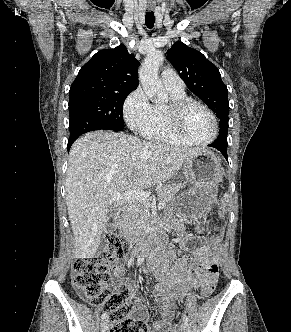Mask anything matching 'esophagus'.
I'll return each instance as SVG.
<instances>
[{
  "label": "esophagus",
  "mask_w": 291,
  "mask_h": 332,
  "mask_svg": "<svg viewBox=\"0 0 291 332\" xmlns=\"http://www.w3.org/2000/svg\"><path fill=\"white\" fill-rule=\"evenodd\" d=\"M154 7H155V5H154L153 3H150V4L148 5V9H149L150 11H152V10L154 9Z\"/></svg>",
  "instance_id": "34e87169"
}]
</instances>
